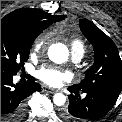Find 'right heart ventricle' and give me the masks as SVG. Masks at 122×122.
<instances>
[{
  "mask_svg": "<svg viewBox=\"0 0 122 122\" xmlns=\"http://www.w3.org/2000/svg\"><path fill=\"white\" fill-rule=\"evenodd\" d=\"M71 45H72V50L77 49V50L82 51L83 53L85 52V46H84V43L81 40L74 39L72 41Z\"/></svg>",
  "mask_w": 122,
  "mask_h": 122,
  "instance_id": "1",
  "label": "right heart ventricle"
}]
</instances>
